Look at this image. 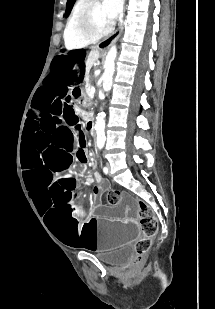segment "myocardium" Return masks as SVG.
Returning a JSON list of instances; mask_svg holds the SVG:
<instances>
[{"mask_svg":"<svg viewBox=\"0 0 215 309\" xmlns=\"http://www.w3.org/2000/svg\"><path fill=\"white\" fill-rule=\"evenodd\" d=\"M93 10V6H87L75 11V18H78V21H75V25L73 27L77 28H75L74 31H78V33H80L77 37L85 38V43L79 44L81 46H90L93 44V40L91 38H105V34H109L110 30H114L115 26L113 19H108L104 27H94L93 24L95 22L90 19L89 15L85 14ZM87 39H90V42H87Z\"/></svg>","mask_w":215,"mask_h":309,"instance_id":"f54148a6","label":"myocardium"}]
</instances>
